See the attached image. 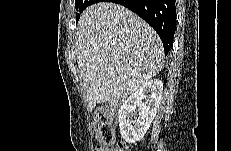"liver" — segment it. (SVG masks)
I'll return each mask as SVG.
<instances>
[{
	"label": "liver",
	"mask_w": 231,
	"mask_h": 151,
	"mask_svg": "<svg viewBox=\"0 0 231 151\" xmlns=\"http://www.w3.org/2000/svg\"><path fill=\"white\" fill-rule=\"evenodd\" d=\"M75 45L91 108L132 94L163 66L164 50L157 33L113 2H98L84 10Z\"/></svg>",
	"instance_id": "obj_1"
}]
</instances>
